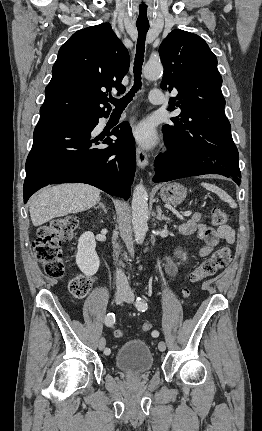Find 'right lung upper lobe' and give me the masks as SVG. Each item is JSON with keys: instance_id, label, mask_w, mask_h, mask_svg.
Returning a JSON list of instances; mask_svg holds the SVG:
<instances>
[{"instance_id": "right-lung-upper-lobe-1", "label": "right lung upper lobe", "mask_w": 262, "mask_h": 431, "mask_svg": "<svg viewBox=\"0 0 262 431\" xmlns=\"http://www.w3.org/2000/svg\"><path fill=\"white\" fill-rule=\"evenodd\" d=\"M128 69L129 53L110 24L77 31L59 49L40 118L108 115L107 94L124 88Z\"/></svg>"}]
</instances>
